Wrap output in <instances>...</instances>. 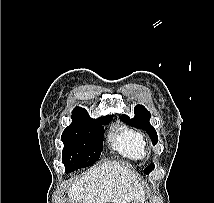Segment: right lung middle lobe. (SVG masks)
Listing matches in <instances>:
<instances>
[{
    "mask_svg": "<svg viewBox=\"0 0 214 203\" xmlns=\"http://www.w3.org/2000/svg\"><path fill=\"white\" fill-rule=\"evenodd\" d=\"M72 123L64 130L62 162L66 173L93 165L103 149L104 127L111 116L92 119L86 111H73Z\"/></svg>",
    "mask_w": 214,
    "mask_h": 203,
    "instance_id": "1",
    "label": "right lung middle lobe"
}]
</instances>
